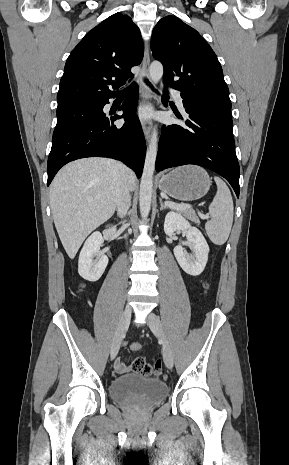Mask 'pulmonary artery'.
Instances as JSON below:
<instances>
[{
  "mask_svg": "<svg viewBox=\"0 0 289 465\" xmlns=\"http://www.w3.org/2000/svg\"><path fill=\"white\" fill-rule=\"evenodd\" d=\"M170 91L172 92V94L174 95V98L176 100V103L178 105V107L181 109V110H184V106H183V99L181 97V94L179 91L177 90H174V89H170Z\"/></svg>",
  "mask_w": 289,
  "mask_h": 465,
  "instance_id": "1",
  "label": "pulmonary artery"
}]
</instances>
